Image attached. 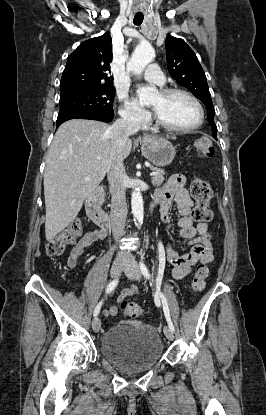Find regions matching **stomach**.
Segmentation results:
<instances>
[{
  "instance_id": "stomach-1",
  "label": "stomach",
  "mask_w": 266,
  "mask_h": 415,
  "mask_svg": "<svg viewBox=\"0 0 266 415\" xmlns=\"http://www.w3.org/2000/svg\"><path fill=\"white\" fill-rule=\"evenodd\" d=\"M142 155L158 167L169 165L176 154L173 145L166 139L147 138L142 142Z\"/></svg>"
}]
</instances>
